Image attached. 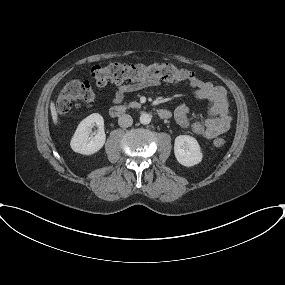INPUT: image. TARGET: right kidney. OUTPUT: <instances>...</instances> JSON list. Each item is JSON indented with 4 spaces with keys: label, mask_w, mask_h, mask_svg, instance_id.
I'll use <instances>...</instances> for the list:
<instances>
[{
    "label": "right kidney",
    "mask_w": 285,
    "mask_h": 285,
    "mask_svg": "<svg viewBox=\"0 0 285 285\" xmlns=\"http://www.w3.org/2000/svg\"><path fill=\"white\" fill-rule=\"evenodd\" d=\"M94 125L99 129L95 136L91 134ZM105 140L104 119L100 114L93 113L80 122L71 139L70 146L76 153L92 155L103 147Z\"/></svg>",
    "instance_id": "right-kidney-1"
}]
</instances>
